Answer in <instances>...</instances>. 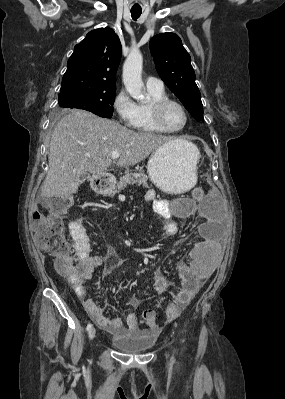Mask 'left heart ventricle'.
Here are the masks:
<instances>
[{
    "mask_svg": "<svg viewBox=\"0 0 285 399\" xmlns=\"http://www.w3.org/2000/svg\"><path fill=\"white\" fill-rule=\"evenodd\" d=\"M165 122L172 128L181 127L184 123V116L182 111L176 105H169L165 110Z\"/></svg>",
    "mask_w": 285,
    "mask_h": 399,
    "instance_id": "obj_1",
    "label": "left heart ventricle"
}]
</instances>
